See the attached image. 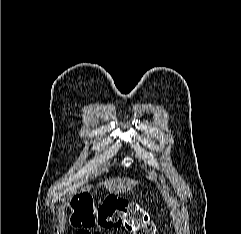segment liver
I'll use <instances>...</instances> for the list:
<instances>
[{"mask_svg":"<svg viewBox=\"0 0 241 234\" xmlns=\"http://www.w3.org/2000/svg\"><path fill=\"white\" fill-rule=\"evenodd\" d=\"M104 185V187L112 193H124L128 190H131L135 185L138 184V181L133 179H124L116 178L107 180L105 182L99 183V185Z\"/></svg>","mask_w":241,"mask_h":234,"instance_id":"1","label":"liver"}]
</instances>
